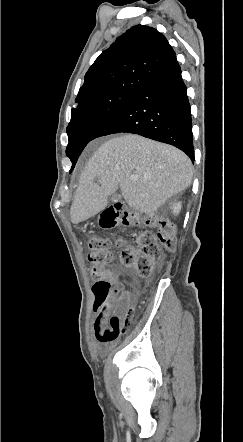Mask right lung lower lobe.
<instances>
[{
    "mask_svg": "<svg viewBox=\"0 0 243 442\" xmlns=\"http://www.w3.org/2000/svg\"><path fill=\"white\" fill-rule=\"evenodd\" d=\"M121 132L171 144L194 162L190 103L177 59L136 88L94 139Z\"/></svg>",
    "mask_w": 243,
    "mask_h": 442,
    "instance_id": "98d812e1",
    "label": "right lung lower lobe"
}]
</instances>
